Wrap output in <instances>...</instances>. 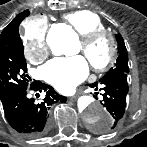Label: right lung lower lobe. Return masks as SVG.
Segmentation results:
<instances>
[{
	"mask_svg": "<svg viewBox=\"0 0 147 147\" xmlns=\"http://www.w3.org/2000/svg\"><path fill=\"white\" fill-rule=\"evenodd\" d=\"M31 89L45 92L41 102L27 96V88L13 91L0 97L6 119L10 126L24 136L35 138L44 135L50 126L48 111L57 102H66L51 86L37 81Z\"/></svg>",
	"mask_w": 147,
	"mask_h": 147,
	"instance_id": "obj_1",
	"label": "right lung lower lobe"
}]
</instances>
